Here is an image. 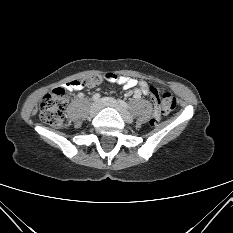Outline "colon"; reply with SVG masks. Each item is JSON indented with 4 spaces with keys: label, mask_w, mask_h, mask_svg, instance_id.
I'll return each mask as SVG.
<instances>
[{
    "label": "colon",
    "mask_w": 233,
    "mask_h": 233,
    "mask_svg": "<svg viewBox=\"0 0 233 233\" xmlns=\"http://www.w3.org/2000/svg\"><path fill=\"white\" fill-rule=\"evenodd\" d=\"M104 74H96L78 80L87 88L96 87L106 81L103 80ZM149 90L154 95V103L156 111L150 119V125L158 124L161 114H168L174 110L176 106V98L168 91L158 92L152 86ZM68 100V90H63L62 87L56 88L49 94L45 95L40 103V117L47 124L55 128H64L67 126V121L64 117V109Z\"/></svg>",
    "instance_id": "colon-1"
}]
</instances>
